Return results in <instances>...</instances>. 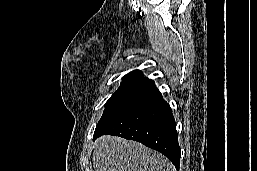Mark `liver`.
I'll return each instance as SVG.
<instances>
[{
	"label": "liver",
	"mask_w": 257,
	"mask_h": 171,
	"mask_svg": "<svg viewBox=\"0 0 257 171\" xmlns=\"http://www.w3.org/2000/svg\"><path fill=\"white\" fill-rule=\"evenodd\" d=\"M95 171H175L161 153L116 136H103L93 146Z\"/></svg>",
	"instance_id": "obj_1"
}]
</instances>
